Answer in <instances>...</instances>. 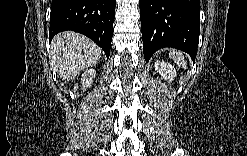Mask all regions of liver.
Here are the masks:
<instances>
[{
    "mask_svg": "<svg viewBox=\"0 0 247 156\" xmlns=\"http://www.w3.org/2000/svg\"><path fill=\"white\" fill-rule=\"evenodd\" d=\"M101 53L89 38L71 31L61 32L52 40L50 65L60 78L68 81L97 63Z\"/></svg>",
    "mask_w": 247,
    "mask_h": 156,
    "instance_id": "6515ba94",
    "label": "liver"
}]
</instances>
